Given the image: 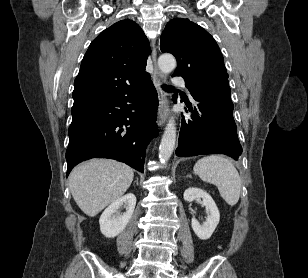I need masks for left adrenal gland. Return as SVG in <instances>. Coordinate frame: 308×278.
I'll list each match as a JSON object with an SVG mask.
<instances>
[{"mask_svg":"<svg viewBox=\"0 0 308 278\" xmlns=\"http://www.w3.org/2000/svg\"><path fill=\"white\" fill-rule=\"evenodd\" d=\"M186 177H189V178H191V175H189V174H188V175H187Z\"/></svg>","mask_w":308,"mask_h":278,"instance_id":"a2214340","label":"left adrenal gland"}]
</instances>
